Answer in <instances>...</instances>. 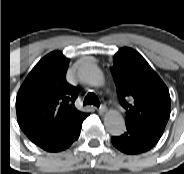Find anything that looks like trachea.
<instances>
[{
  "mask_svg": "<svg viewBox=\"0 0 184 174\" xmlns=\"http://www.w3.org/2000/svg\"><path fill=\"white\" fill-rule=\"evenodd\" d=\"M85 104H93L99 106V100L97 96L93 93H88L84 100Z\"/></svg>",
  "mask_w": 184,
  "mask_h": 174,
  "instance_id": "trachea-1",
  "label": "trachea"
}]
</instances>
